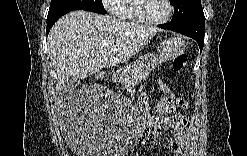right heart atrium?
<instances>
[{"label":"right heart atrium","mask_w":247,"mask_h":156,"mask_svg":"<svg viewBox=\"0 0 247 156\" xmlns=\"http://www.w3.org/2000/svg\"><path fill=\"white\" fill-rule=\"evenodd\" d=\"M121 1L118 0H105L103 2L104 7L112 14H117L119 9V5H120Z\"/></svg>","instance_id":"d8ad5b80"}]
</instances>
